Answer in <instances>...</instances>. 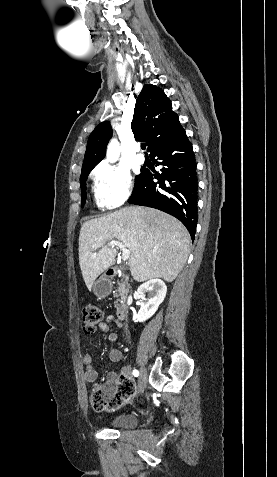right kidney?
Here are the masks:
<instances>
[{"label": "right kidney", "instance_id": "ca27d5eb", "mask_svg": "<svg viewBox=\"0 0 277 477\" xmlns=\"http://www.w3.org/2000/svg\"><path fill=\"white\" fill-rule=\"evenodd\" d=\"M167 287L161 279H151L139 286L137 296L142 299L141 308L138 312V321L144 322L152 317L163 302ZM146 294L148 295L145 298Z\"/></svg>", "mask_w": 277, "mask_h": 477}]
</instances>
